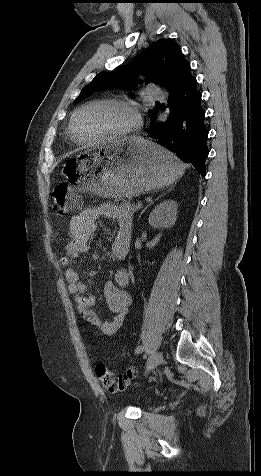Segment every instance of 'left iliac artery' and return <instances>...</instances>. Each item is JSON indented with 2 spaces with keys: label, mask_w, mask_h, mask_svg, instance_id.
<instances>
[{
  "label": "left iliac artery",
  "mask_w": 261,
  "mask_h": 476,
  "mask_svg": "<svg viewBox=\"0 0 261 476\" xmlns=\"http://www.w3.org/2000/svg\"><path fill=\"white\" fill-rule=\"evenodd\" d=\"M144 351V346H138L136 349H135V353L139 354V353H142Z\"/></svg>",
  "instance_id": "44dca946"
}]
</instances>
